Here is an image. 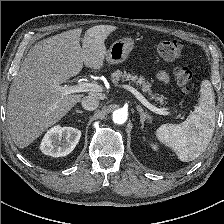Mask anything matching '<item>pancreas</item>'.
Instances as JSON below:
<instances>
[{
  "mask_svg": "<svg viewBox=\"0 0 224 224\" xmlns=\"http://www.w3.org/2000/svg\"><path fill=\"white\" fill-rule=\"evenodd\" d=\"M111 77H112L113 83H116V84L118 83L120 78L123 81H130L132 83H136V85H139L141 87V90L143 92H146L151 97V99H155L160 102H163L165 99V97L163 95L160 96L157 93H153V91L151 89V86H152L151 83L148 81L146 82L145 78L142 76L138 77L136 75L127 73L126 71L122 72L120 70H117L111 74Z\"/></svg>",
  "mask_w": 224,
  "mask_h": 224,
  "instance_id": "cf45deb5",
  "label": "pancreas"
}]
</instances>
